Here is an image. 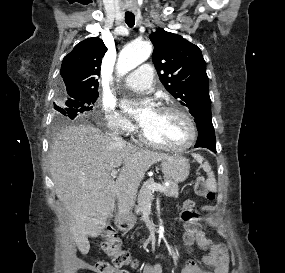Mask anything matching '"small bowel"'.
Here are the masks:
<instances>
[{
	"instance_id": "1",
	"label": "small bowel",
	"mask_w": 285,
	"mask_h": 273,
	"mask_svg": "<svg viewBox=\"0 0 285 273\" xmlns=\"http://www.w3.org/2000/svg\"><path fill=\"white\" fill-rule=\"evenodd\" d=\"M187 199L195 201L193 198ZM211 208V206L207 207V209ZM195 242L199 248L209 251V254L203 259L204 264L212 267L214 273H228L229 254L228 249L224 244L214 242L212 239L208 238L204 232H199ZM142 273H164L163 265L161 263L148 264L143 268ZM181 273L207 272L203 271L195 260L189 259L185 262Z\"/></svg>"
}]
</instances>
